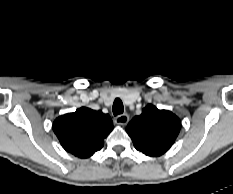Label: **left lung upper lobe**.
I'll use <instances>...</instances> for the list:
<instances>
[{
  "label": "left lung upper lobe",
  "mask_w": 233,
  "mask_h": 194,
  "mask_svg": "<svg viewBox=\"0 0 233 194\" xmlns=\"http://www.w3.org/2000/svg\"><path fill=\"white\" fill-rule=\"evenodd\" d=\"M181 127L180 120L170 111L149 104L135 116L126 131L134 146L143 154L157 157L170 149Z\"/></svg>",
  "instance_id": "obj_1"
}]
</instances>
